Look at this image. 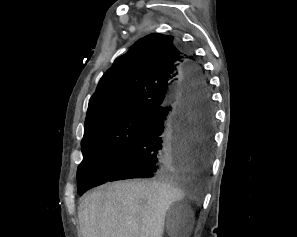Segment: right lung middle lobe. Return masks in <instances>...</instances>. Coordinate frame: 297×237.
Here are the masks:
<instances>
[{
	"mask_svg": "<svg viewBox=\"0 0 297 237\" xmlns=\"http://www.w3.org/2000/svg\"><path fill=\"white\" fill-rule=\"evenodd\" d=\"M152 114L138 111L109 117L84 129L81 142L83 161L77 170L80 195L99 185L140 136Z\"/></svg>",
	"mask_w": 297,
	"mask_h": 237,
	"instance_id": "obj_1",
	"label": "right lung middle lobe"
}]
</instances>
